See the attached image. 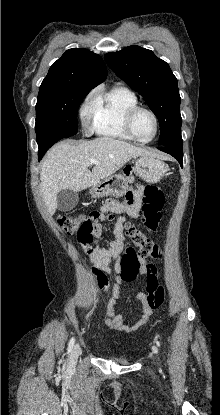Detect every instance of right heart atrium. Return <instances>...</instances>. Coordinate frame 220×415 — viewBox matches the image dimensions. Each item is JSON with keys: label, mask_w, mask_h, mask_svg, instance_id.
<instances>
[{"label": "right heart atrium", "mask_w": 220, "mask_h": 415, "mask_svg": "<svg viewBox=\"0 0 220 415\" xmlns=\"http://www.w3.org/2000/svg\"><path fill=\"white\" fill-rule=\"evenodd\" d=\"M94 98L84 104L80 110V116L82 119V123L84 128L87 130L89 127V124L91 120L93 119V113H94V104H93Z\"/></svg>", "instance_id": "right-heart-atrium-1"}]
</instances>
